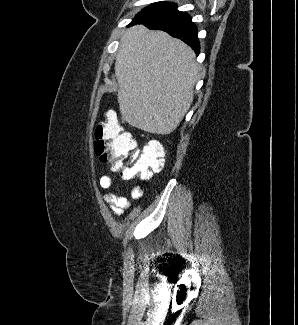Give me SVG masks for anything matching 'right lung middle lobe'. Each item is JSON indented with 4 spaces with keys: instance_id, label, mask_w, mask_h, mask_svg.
I'll return each instance as SVG.
<instances>
[{
    "instance_id": "dd1d6c3e",
    "label": "right lung middle lobe",
    "mask_w": 298,
    "mask_h": 325,
    "mask_svg": "<svg viewBox=\"0 0 298 325\" xmlns=\"http://www.w3.org/2000/svg\"><path fill=\"white\" fill-rule=\"evenodd\" d=\"M176 5L168 2H159L154 3L145 9H143L140 13L137 14L134 20H150L157 17L169 15L171 13L176 12Z\"/></svg>"
}]
</instances>
